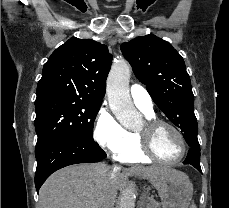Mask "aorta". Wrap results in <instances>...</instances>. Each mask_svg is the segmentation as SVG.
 Returning a JSON list of instances; mask_svg holds the SVG:
<instances>
[{"mask_svg": "<svg viewBox=\"0 0 229 208\" xmlns=\"http://www.w3.org/2000/svg\"><path fill=\"white\" fill-rule=\"evenodd\" d=\"M131 67L125 61L113 64L107 79V96L110 109L117 120L127 129H134L142 116L136 110L129 91ZM135 192L126 188L120 197L119 208H135Z\"/></svg>", "mask_w": 229, "mask_h": 208, "instance_id": "aorta-1", "label": "aorta"}]
</instances>
